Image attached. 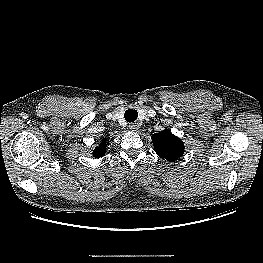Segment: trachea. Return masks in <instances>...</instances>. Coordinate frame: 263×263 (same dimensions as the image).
<instances>
[{"label":"trachea","instance_id":"3493384b","mask_svg":"<svg viewBox=\"0 0 263 263\" xmlns=\"http://www.w3.org/2000/svg\"><path fill=\"white\" fill-rule=\"evenodd\" d=\"M124 118L127 122H134L138 118V112L135 109L129 108L125 111Z\"/></svg>","mask_w":263,"mask_h":263}]
</instances>
